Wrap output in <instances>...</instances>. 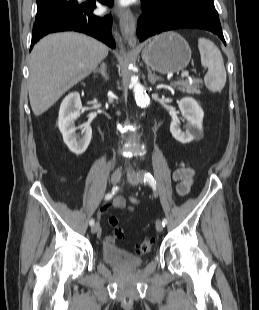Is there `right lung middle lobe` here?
I'll list each match as a JSON object with an SVG mask.
<instances>
[{"instance_id": "right-lung-middle-lobe-1", "label": "right lung middle lobe", "mask_w": 259, "mask_h": 310, "mask_svg": "<svg viewBox=\"0 0 259 310\" xmlns=\"http://www.w3.org/2000/svg\"><path fill=\"white\" fill-rule=\"evenodd\" d=\"M78 5L76 0H37V15L48 10L72 8Z\"/></svg>"}]
</instances>
